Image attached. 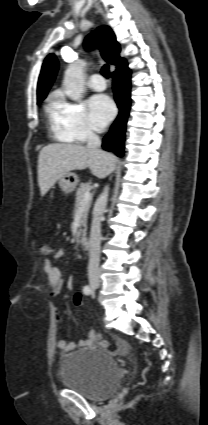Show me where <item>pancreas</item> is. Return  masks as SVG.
I'll return each mask as SVG.
<instances>
[{"label": "pancreas", "instance_id": "obj_1", "mask_svg": "<svg viewBox=\"0 0 208 425\" xmlns=\"http://www.w3.org/2000/svg\"><path fill=\"white\" fill-rule=\"evenodd\" d=\"M92 189V187L90 186L89 183H81L79 188L76 190V204L75 207L78 208L80 206V203L83 200V196L86 192H89ZM91 206V200L87 203L85 210L83 212L81 221H80V225H79V230H78V244H81L86 236V231H87V216H88V212H89V208Z\"/></svg>", "mask_w": 208, "mask_h": 425}]
</instances>
